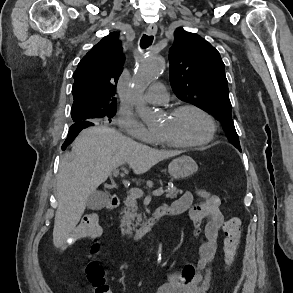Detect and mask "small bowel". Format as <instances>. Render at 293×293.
<instances>
[{
  "instance_id": "1",
  "label": "small bowel",
  "mask_w": 293,
  "mask_h": 293,
  "mask_svg": "<svg viewBox=\"0 0 293 293\" xmlns=\"http://www.w3.org/2000/svg\"><path fill=\"white\" fill-rule=\"evenodd\" d=\"M195 196L201 201L194 204ZM170 206L178 213L188 211L194 236L203 231L205 239L199 247L197 263H188L182 270L170 273L158 293H208L213 282L212 263L217 253V240L225 224L220 198L205 190L186 191Z\"/></svg>"
}]
</instances>
